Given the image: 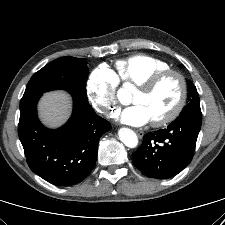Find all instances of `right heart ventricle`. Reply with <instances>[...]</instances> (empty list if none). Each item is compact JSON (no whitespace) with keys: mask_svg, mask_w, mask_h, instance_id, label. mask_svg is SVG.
Segmentation results:
<instances>
[{"mask_svg":"<svg viewBox=\"0 0 225 225\" xmlns=\"http://www.w3.org/2000/svg\"><path fill=\"white\" fill-rule=\"evenodd\" d=\"M115 76L124 84L137 85L149 76L169 69V65L157 58L135 54L115 63Z\"/></svg>","mask_w":225,"mask_h":225,"instance_id":"right-heart-ventricle-1","label":"right heart ventricle"}]
</instances>
